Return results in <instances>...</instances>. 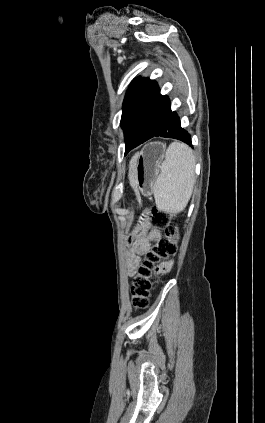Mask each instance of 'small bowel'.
I'll list each match as a JSON object with an SVG mask.
<instances>
[{
  "label": "small bowel",
  "mask_w": 265,
  "mask_h": 423,
  "mask_svg": "<svg viewBox=\"0 0 265 423\" xmlns=\"http://www.w3.org/2000/svg\"><path fill=\"white\" fill-rule=\"evenodd\" d=\"M159 236L160 232L156 229H152L148 232H145L135 241L133 247L128 252L126 259V267L130 277L136 274L142 256L146 253L151 243L158 239ZM172 267L173 261L163 262L158 266L157 272L167 273L171 270Z\"/></svg>",
  "instance_id": "small-bowel-1"
}]
</instances>
